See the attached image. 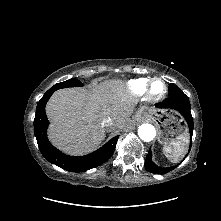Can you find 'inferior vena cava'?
<instances>
[{
  "label": "inferior vena cava",
  "mask_w": 221,
  "mask_h": 221,
  "mask_svg": "<svg viewBox=\"0 0 221 221\" xmlns=\"http://www.w3.org/2000/svg\"><path fill=\"white\" fill-rule=\"evenodd\" d=\"M102 125L108 130L111 131L116 127V123L111 118H106L103 120Z\"/></svg>",
  "instance_id": "1"
}]
</instances>
